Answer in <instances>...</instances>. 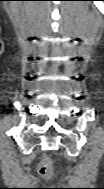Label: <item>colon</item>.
<instances>
[{"mask_svg":"<svg viewBox=\"0 0 104 189\" xmlns=\"http://www.w3.org/2000/svg\"><path fill=\"white\" fill-rule=\"evenodd\" d=\"M38 172L45 178H50L53 175V167L48 158H44L38 166Z\"/></svg>","mask_w":104,"mask_h":189,"instance_id":"1","label":"colon"}]
</instances>
